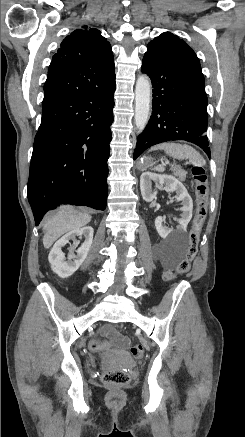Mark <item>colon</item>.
Returning a JSON list of instances; mask_svg holds the SVG:
<instances>
[{
    "label": "colon",
    "mask_w": 245,
    "mask_h": 437,
    "mask_svg": "<svg viewBox=\"0 0 245 437\" xmlns=\"http://www.w3.org/2000/svg\"><path fill=\"white\" fill-rule=\"evenodd\" d=\"M192 174L196 184L197 202L192 227L189 231L188 247L183 260H181L174 269L167 270L164 273V279L166 281H172L178 275L185 274L190 270L192 261L194 260L198 251L200 234L207 215L209 189L206 171L203 167L195 166L192 168ZM100 346L101 344L98 341L91 343V349L94 351L98 350ZM130 353L134 358L139 359L143 356L144 349L141 345H133L130 348ZM101 380L107 385L124 386L129 382L130 377L128 373L124 371L109 370L102 373Z\"/></svg>",
    "instance_id": "obj_1"
}]
</instances>
